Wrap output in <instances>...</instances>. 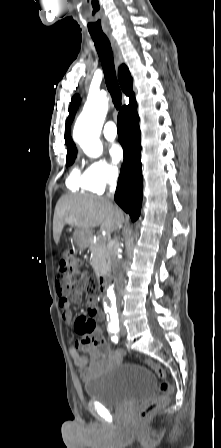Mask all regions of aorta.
Segmentation results:
<instances>
[{
  "mask_svg": "<svg viewBox=\"0 0 221 448\" xmlns=\"http://www.w3.org/2000/svg\"><path fill=\"white\" fill-rule=\"evenodd\" d=\"M107 111L106 95H94L88 98L75 123L73 138L89 157L96 158L102 154L103 145L99 136Z\"/></svg>",
  "mask_w": 221,
  "mask_h": 448,
  "instance_id": "762f6f07",
  "label": "aorta"
}]
</instances>
